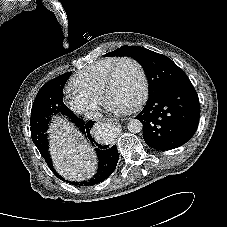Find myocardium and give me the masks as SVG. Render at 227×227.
<instances>
[{
	"instance_id": "f54148a6",
	"label": "myocardium",
	"mask_w": 227,
	"mask_h": 227,
	"mask_svg": "<svg viewBox=\"0 0 227 227\" xmlns=\"http://www.w3.org/2000/svg\"><path fill=\"white\" fill-rule=\"evenodd\" d=\"M124 62H130V63L134 64L136 66V68L138 69L140 76H141L142 84H141L140 93H139L137 99L135 100V102L130 106V110H133L142 104V102L144 101V99L146 98V96L148 94V88H149V81H148V76H147L146 70L144 69L142 64L133 57H129V56L121 57L111 67V69L109 70L107 77L104 81V84H103L102 99L107 105L109 104L108 99H109L110 90L114 83L117 71H118L119 67L121 66V64Z\"/></svg>"
}]
</instances>
